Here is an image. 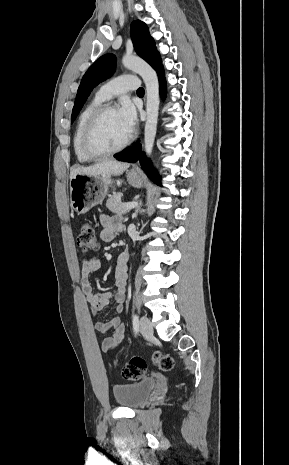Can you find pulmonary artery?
<instances>
[{"label":"pulmonary artery","mask_w":289,"mask_h":465,"mask_svg":"<svg viewBox=\"0 0 289 465\" xmlns=\"http://www.w3.org/2000/svg\"><path fill=\"white\" fill-rule=\"evenodd\" d=\"M139 88V79L134 75H120L106 82L98 91L102 100Z\"/></svg>","instance_id":"1"}]
</instances>
